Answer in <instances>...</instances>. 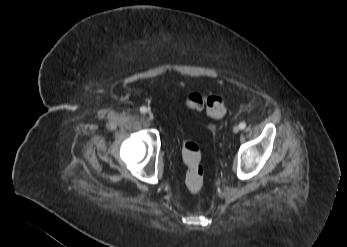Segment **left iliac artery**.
I'll list each match as a JSON object with an SVG mask.
<instances>
[{
    "mask_svg": "<svg viewBox=\"0 0 347 247\" xmlns=\"http://www.w3.org/2000/svg\"><path fill=\"white\" fill-rule=\"evenodd\" d=\"M239 127H240V129H245L246 123H245V122H241V123L239 124Z\"/></svg>",
    "mask_w": 347,
    "mask_h": 247,
    "instance_id": "obj_1",
    "label": "left iliac artery"
}]
</instances>
